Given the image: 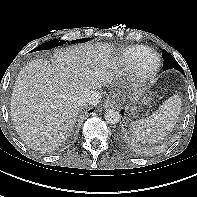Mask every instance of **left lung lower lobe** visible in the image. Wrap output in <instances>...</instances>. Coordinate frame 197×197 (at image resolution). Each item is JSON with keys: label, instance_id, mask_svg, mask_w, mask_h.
I'll list each match as a JSON object with an SVG mask.
<instances>
[{"label": "left lung lower lobe", "instance_id": "1", "mask_svg": "<svg viewBox=\"0 0 197 197\" xmlns=\"http://www.w3.org/2000/svg\"><path fill=\"white\" fill-rule=\"evenodd\" d=\"M125 133H126L125 130L122 129L120 133L122 139H125Z\"/></svg>", "mask_w": 197, "mask_h": 197}]
</instances>
